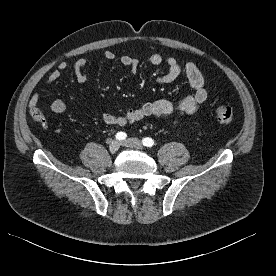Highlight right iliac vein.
Here are the masks:
<instances>
[{"mask_svg": "<svg viewBox=\"0 0 276 276\" xmlns=\"http://www.w3.org/2000/svg\"><path fill=\"white\" fill-rule=\"evenodd\" d=\"M119 148H120V143L117 140H113L109 145V150L112 153L117 152L119 150Z\"/></svg>", "mask_w": 276, "mask_h": 276, "instance_id": "63e3f726", "label": "right iliac vein"}]
</instances>
